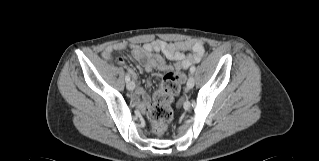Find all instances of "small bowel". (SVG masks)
Wrapping results in <instances>:
<instances>
[{
    "instance_id": "c3829d8e",
    "label": "small bowel",
    "mask_w": 319,
    "mask_h": 161,
    "mask_svg": "<svg viewBox=\"0 0 319 161\" xmlns=\"http://www.w3.org/2000/svg\"><path fill=\"white\" fill-rule=\"evenodd\" d=\"M126 47L127 45L125 43H116L107 46L104 50V55L109 57L115 51L123 50ZM131 51L133 57L147 72L153 70L166 71L169 67L164 58L173 61L175 68L180 70L181 80L184 81L185 76L183 72L201 60L205 53V47L201 41L197 40L166 42L156 39L142 45L132 44ZM129 72L133 78H136L134 70L129 69ZM148 102L149 97L146 95L144 89L137 84L133 103L144 106Z\"/></svg>"
}]
</instances>
